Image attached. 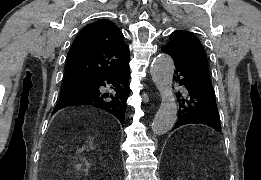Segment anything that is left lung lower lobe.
Returning a JSON list of instances; mask_svg holds the SVG:
<instances>
[{"mask_svg": "<svg viewBox=\"0 0 261 180\" xmlns=\"http://www.w3.org/2000/svg\"><path fill=\"white\" fill-rule=\"evenodd\" d=\"M162 51L170 55L166 49L162 48ZM173 60L176 68L173 79L183 86L182 92H178V121L174 129L186 124L201 123L221 131L220 117L211 81L188 65L175 58Z\"/></svg>", "mask_w": 261, "mask_h": 180, "instance_id": "obj_1", "label": "left lung lower lobe"}]
</instances>
